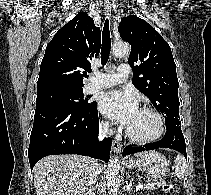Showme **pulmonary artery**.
Returning a JSON list of instances; mask_svg holds the SVG:
<instances>
[{
	"label": "pulmonary artery",
	"mask_w": 211,
	"mask_h": 195,
	"mask_svg": "<svg viewBox=\"0 0 211 195\" xmlns=\"http://www.w3.org/2000/svg\"><path fill=\"white\" fill-rule=\"evenodd\" d=\"M129 73L130 68L127 64L119 65L117 71L113 73L95 72L86 86V91L92 93L125 82L129 77Z\"/></svg>",
	"instance_id": "obj_1"
}]
</instances>
